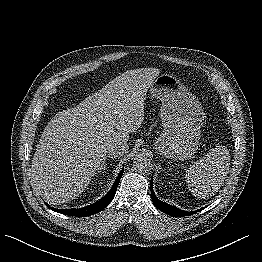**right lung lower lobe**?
<instances>
[{"mask_svg": "<svg viewBox=\"0 0 262 262\" xmlns=\"http://www.w3.org/2000/svg\"><path fill=\"white\" fill-rule=\"evenodd\" d=\"M123 174V169L121 170V172L119 173L117 179L115 180L112 188L110 189V191L103 197L101 198L99 201L83 207V208H72V209H56L53 207H50L49 205H47L51 210L68 215V216H79V217H87L93 214H96L98 212H100L102 209H104L114 198L117 187L119 185L121 176Z\"/></svg>", "mask_w": 262, "mask_h": 262, "instance_id": "obj_1", "label": "right lung lower lobe"}]
</instances>
